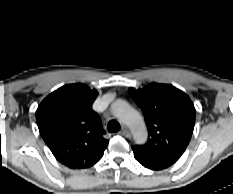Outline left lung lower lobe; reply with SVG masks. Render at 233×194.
<instances>
[{"mask_svg": "<svg viewBox=\"0 0 233 194\" xmlns=\"http://www.w3.org/2000/svg\"><path fill=\"white\" fill-rule=\"evenodd\" d=\"M135 159L140 162L144 167L153 169V170H160L169 167L173 163L170 161H163V160H154L149 159L147 157L141 156L134 152Z\"/></svg>", "mask_w": 233, "mask_h": 194, "instance_id": "1", "label": "left lung lower lobe"}]
</instances>
